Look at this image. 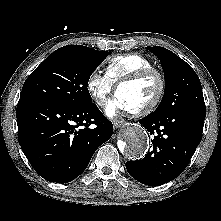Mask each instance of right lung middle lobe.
I'll use <instances>...</instances> for the list:
<instances>
[{"label": "right lung middle lobe", "mask_w": 221, "mask_h": 221, "mask_svg": "<svg viewBox=\"0 0 221 221\" xmlns=\"http://www.w3.org/2000/svg\"><path fill=\"white\" fill-rule=\"evenodd\" d=\"M107 51H88L78 45L61 47L26 79L20 99H35L71 107L92 104L87 85Z\"/></svg>", "instance_id": "right-lung-middle-lobe-1"}]
</instances>
